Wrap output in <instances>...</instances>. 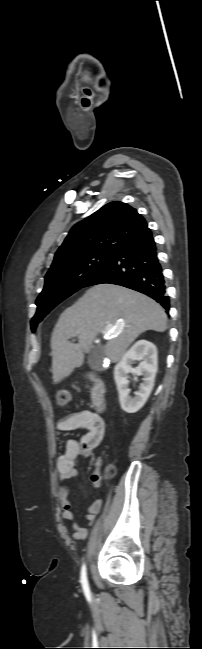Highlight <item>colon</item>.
Here are the masks:
<instances>
[{
    "label": "colon",
    "mask_w": 202,
    "mask_h": 649,
    "mask_svg": "<svg viewBox=\"0 0 202 649\" xmlns=\"http://www.w3.org/2000/svg\"><path fill=\"white\" fill-rule=\"evenodd\" d=\"M71 394L70 391L67 389H58L55 392V399L58 405L60 406H67L70 402ZM97 466L102 467V462L101 460H97ZM115 468L111 464H107L104 466V474L107 477H110L114 474Z\"/></svg>",
    "instance_id": "1"
}]
</instances>
